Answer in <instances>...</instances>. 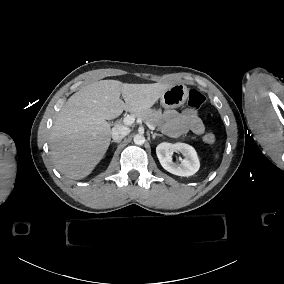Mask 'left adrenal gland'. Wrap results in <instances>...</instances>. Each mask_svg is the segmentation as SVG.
<instances>
[{
	"label": "left adrenal gland",
	"instance_id": "obj_1",
	"mask_svg": "<svg viewBox=\"0 0 284 284\" xmlns=\"http://www.w3.org/2000/svg\"><path fill=\"white\" fill-rule=\"evenodd\" d=\"M151 135H152V139H155L157 136L163 137L162 134H157V133H153V132H151Z\"/></svg>",
	"mask_w": 284,
	"mask_h": 284
}]
</instances>
